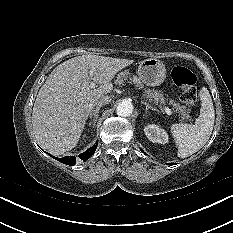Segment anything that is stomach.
Listing matches in <instances>:
<instances>
[{
  "label": "stomach",
  "instance_id": "obj_1",
  "mask_svg": "<svg viewBox=\"0 0 233 233\" xmlns=\"http://www.w3.org/2000/svg\"><path fill=\"white\" fill-rule=\"evenodd\" d=\"M138 76L147 86H158L166 78V69L162 61L156 58H148L140 62Z\"/></svg>",
  "mask_w": 233,
  "mask_h": 233
}]
</instances>
